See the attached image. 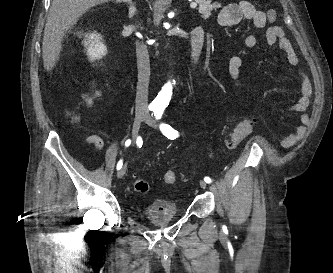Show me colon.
Masks as SVG:
<instances>
[{
	"label": "colon",
	"mask_w": 333,
	"mask_h": 273,
	"mask_svg": "<svg viewBox=\"0 0 333 273\" xmlns=\"http://www.w3.org/2000/svg\"><path fill=\"white\" fill-rule=\"evenodd\" d=\"M277 16L275 9H269L267 11V18L270 22L275 21ZM96 95V94H95ZM91 96H86L84 98L85 104H90L92 101ZM73 118L76 119L77 116L73 114ZM256 124V119L253 117L244 118L241 120L233 129L232 133L230 134V137L227 141V147L228 149H234L236 148L253 130L254 125ZM176 174L174 171H167L164 174V181L166 184H174L176 182ZM135 189L140 193H146L148 191V184L141 180V179H135Z\"/></svg>",
	"instance_id": "5ec220e1"
}]
</instances>
